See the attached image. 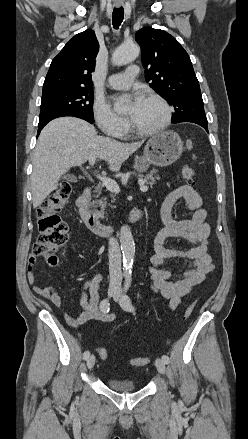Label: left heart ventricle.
<instances>
[{
  "mask_svg": "<svg viewBox=\"0 0 248 439\" xmlns=\"http://www.w3.org/2000/svg\"><path fill=\"white\" fill-rule=\"evenodd\" d=\"M129 116L139 128L152 129L162 123L165 111L158 102L144 99L137 110L129 109Z\"/></svg>",
  "mask_w": 248,
  "mask_h": 439,
  "instance_id": "left-heart-ventricle-1",
  "label": "left heart ventricle"
}]
</instances>
